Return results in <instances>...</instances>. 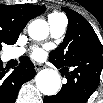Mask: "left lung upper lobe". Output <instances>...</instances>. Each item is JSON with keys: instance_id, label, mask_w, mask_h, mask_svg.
I'll use <instances>...</instances> for the list:
<instances>
[{"instance_id": "obj_1", "label": "left lung upper lobe", "mask_w": 103, "mask_h": 103, "mask_svg": "<svg viewBox=\"0 0 103 103\" xmlns=\"http://www.w3.org/2000/svg\"><path fill=\"white\" fill-rule=\"evenodd\" d=\"M62 10L69 21L66 37L58 48L50 52V61L58 67H68L91 50L103 51L101 42L87 20L71 9L63 7Z\"/></svg>"}]
</instances>
